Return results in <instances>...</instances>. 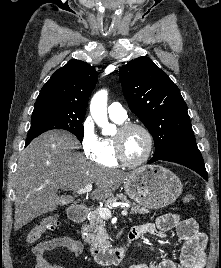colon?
<instances>
[{
  "mask_svg": "<svg viewBox=\"0 0 221 268\" xmlns=\"http://www.w3.org/2000/svg\"><path fill=\"white\" fill-rule=\"evenodd\" d=\"M193 195H186L183 198L184 203L195 202ZM59 225V219L56 215H49L42 219L27 235L26 240L28 243L33 244L37 242L40 237L47 231L55 229Z\"/></svg>",
  "mask_w": 221,
  "mask_h": 268,
  "instance_id": "obj_1",
  "label": "colon"
}]
</instances>
